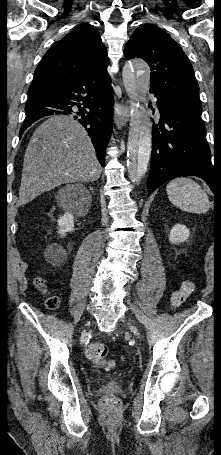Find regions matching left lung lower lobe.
<instances>
[{
    "mask_svg": "<svg viewBox=\"0 0 221 455\" xmlns=\"http://www.w3.org/2000/svg\"><path fill=\"white\" fill-rule=\"evenodd\" d=\"M153 94L157 98L160 120L159 127H152L148 195L166 181L182 175L202 178L214 192L218 173L211 162L201 114Z\"/></svg>",
    "mask_w": 221,
    "mask_h": 455,
    "instance_id": "left-lung-lower-lobe-1",
    "label": "left lung lower lobe"
}]
</instances>
